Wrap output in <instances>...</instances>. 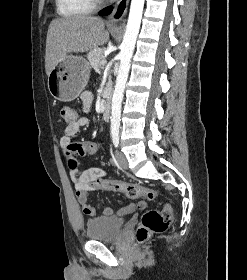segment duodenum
<instances>
[{
  "label": "duodenum",
  "mask_w": 247,
  "mask_h": 280,
  "mask_svg": "<svg viewBox=\"0 0 247 280\" xmlns=\"http://www.w3.org/2000/svg\"><path fill=\"white\" fill-rule=\"evenodd\" d=\"M110 114H111V102H110L109 97H106L103 107H102L103 119L108 121L110 119Z\"/></svg>",
  "instance_id": "duodenum-1"
}]
</instances>
